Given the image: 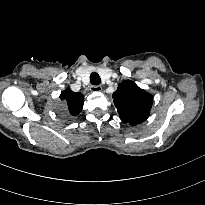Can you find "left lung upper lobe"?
I'll return each mask as SVG.
<instances>
[{"mask_svg": "<svg viewBox=\"0 0 205 205\" xmlns=\"http://www.w3.org/2000/svg\"><path fill=\"white\" fill-rule=\"evenodd\" d=\"M113 99L120 119L130 125L140 124L148 118L153 100L151 94L131 80L119 84Z\"/></svg>", "mask_w": 205, "mask_h": 205, "instance_id": "1", "label": "left lung upper lobe"}]
</instances>
